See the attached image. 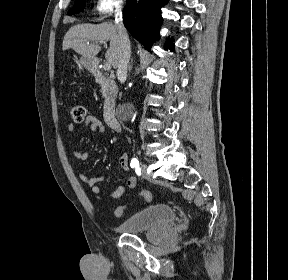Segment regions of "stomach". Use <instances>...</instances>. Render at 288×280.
Masks as SVG:
<instances>
[{
	"mask_svg": "<svg viewBox=\"0 0 288 280\" xmlns=\"http://www.w3.org/2000/svg\"><path fill=\"white\" fill-rule=\"evenodd\" d=\"M95 62H96V59H94V58H89V57H83L82 56L81 59H80V63L86 68H91L94 65Z\"/></svg>",
	"mask_w": 288,
	"mask_h": 280,
	"instance_id": "stomach-1",
	"label": "stomach"
}]
</instances>
